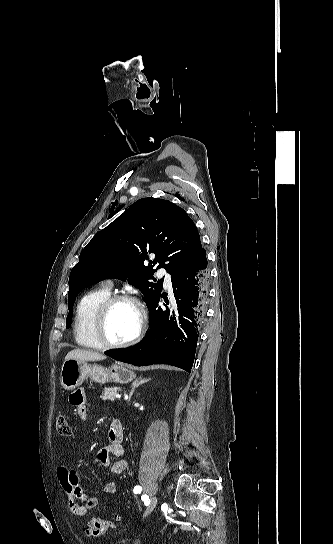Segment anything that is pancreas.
<instances>
[{
    "label": "pancreas",
    "instance_id": "obj_1",
    "mask_svg": "<svg viewBox=\"0 0 333 544\" xmlns=\"http://www.w3.org/2000/svg\"><path fill=\"white\" fill-rule=\"evenodd\" d=\"M116 394H117V391L115 388H105L104 391L102 392L101 398L103 400L114 401Z\"/></svg>",
    "mask_w": 333,
    "mask_h": 544
}]
</instances>
